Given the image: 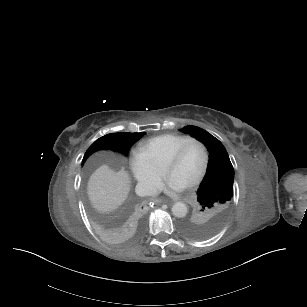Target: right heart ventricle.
Instances as JSON below:
<instances>
[{
    "label": "right heart ventricle",
    "instance_id": "right-heart-ventricle-1",
    "mask_svg": "<svg viewBox=\"0 0 307 307\" xmlns=\"http://www.w3.org/2000/svg\"><path fill=\"white\" fill-rule=\"evenodd\" d=\"M190 138L192 137L186 134L167 133L155 138L140 140L133 147L147 152L156 162L164 163L168 156Z\"/></svg>",
    "mask_w": 307,
    "mask_h": 307
}]
</instances>
